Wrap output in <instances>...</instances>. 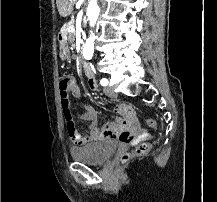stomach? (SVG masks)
I'll list each match as a JSON object with an SVG mask.
<instances>
[{"label": "stomach", "mask_w": 217, "mask_h": 202, "mask_svg": "<svg viewBox=\"0 0 217 202\" xmlns=\"http://www.w3.org/2000/svg\"><path fill=\"white\" fill-rule=\"evenodd\" d=\"M60 58L61 60H68L69 58V46L65 40L60 46Z\"/></svg>", "instance_id": "0dacf381"}]
</instances>
